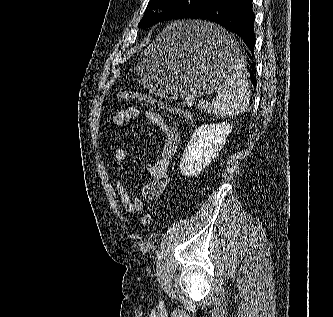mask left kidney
<instances>
[{
  "mask_svg": "<svg viewBox=\"0 0 333 317\" xmlns=\"http://www.w3.org/2000/svg\"><path fill=\"white\" fill-rule=\"evenodd\" d=\"M232 125L219 123L200 126L193 133L180 161L183 176L192 177L214 160L231 132Z\"/></svg>",
  "mask_w": 333,
  "mask_h": 317,
  "instance_id": "left-kidney-1",
  "label": "left kidney"
}]
</instances>
